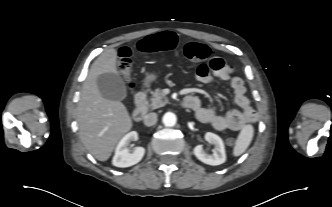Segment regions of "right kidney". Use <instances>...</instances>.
<instances>
[{"label":"right kidney","mask_w":332,"mask_h":207,"mask_svg":"<svg viewBox=\"0 0 332 207\" xmlns=\"http://www.w3.org/2000/svg\"><path fill=\"white\" fill-rule=\"evenodd\" d=\"M136 140H138V133L136 131L129 132L120 140L112 160L114 166L125 168L133 166L141 161L145 154V149L143 147L135 148L132 153L128 149L129 144Z\"/></svg>","instance_id":"1"}]
</instances>
